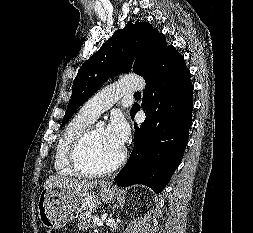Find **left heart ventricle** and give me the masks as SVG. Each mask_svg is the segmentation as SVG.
Returning a JSON list of instances; mask_svg holds the SVG:
<instances>
[{
    "mask_svg": "<svg viewBox=\"0 0 253 233\" xmlns=\"http://www.w3.org/2000/svg\"><path fill=\"white\" fill-rule=\"evenodd\" d=\"M121 149L113 145L106 136L105 128L95 126L92 137L84 152L86 166L99 169L111 164L120 154Z\"/></svg>",
    "mask_w": 253,
    "mask_h": 233,
    "instance_id": "left-heart-ventricle-1",
    "label": "left heart ventricle"
}]
</instances>
